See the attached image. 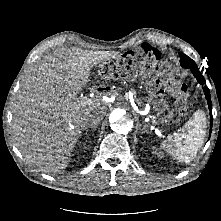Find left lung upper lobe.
Masks as SVG:
<instances>
[{"label":"left lung upper lobe","instance_id":"1","mask_svg":"<svg viewBox=\"0 0 221 221\" xmlns=\"http://www.w3.org/2000/svg\"><path fill=\"white\" fill-rule=\"evenodd\" d=\"M180 59H181V65L185 68H198L196 63L191 59L189 58L187 55L183 54V53H180Z\"/></svg>","mask_w":221,"mask_h":221}]
</instances>
